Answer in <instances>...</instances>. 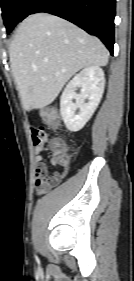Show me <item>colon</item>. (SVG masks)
<instances>
[{
    "label": "colon",
    "instance_id": "1",
    "mask_svg": "<svg viewBox=\"0 0 134 281\" xmlns=\"http://www.w3.org/2000/svg\"><path fill=\"white\" fill-rule=\"evenodd\" d=\"M43 117L50 126L56 127L59 124L58 113L51 107L43 110ZM50 149L57 162L62 166H66L68 163V147L66 143L59 138L53 139L50 143Z\"/></svg>",
    "mask_w": 134,
    "mask_h": 281
}]
</instances>
